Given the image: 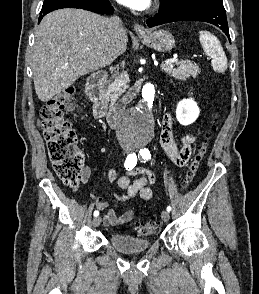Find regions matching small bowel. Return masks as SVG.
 <instances>
[{
    "mask_svg": "<svg viewBox=\"0 0 259 294\" xmlns=\"http://www.w3.org/2000/svg\"><path fill=\"white\" fill-rule=\"evenodd\" d=\"M69 109H73V106H69ZM173 119L170 113H167L161 122L160 142L169 156V158L179 166H184L189 161L192 148L191 144L195 141V136L192 134H185L181 138L182 146L178 147L175 143L173 136ZM91 175V170L88 165H85L82 170V182L86 183ZM130 176H136L137 179L132 181ZM107 178L110 182H116L119 188L125 190L124 194L117 195V200L125 202L137 195L143 200H150L152 198V190L148 187L156 181V175L154 172L141 168L133 167L132 169H126V174L118 176L114 170L107 172ZM96 206L99 210H106V214L103 218V224L105 226H117L128 223L133 218V211L126 210L122 214L118 215L113 209L109 208V203L104 200H97Z\"/></svg>",
    "mask_w": 259,
    "mask_h": 294,
    "instance_id": "c3829d8e",
    "label": "small bowel"
}]
</instances>
